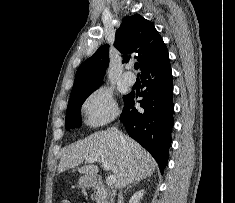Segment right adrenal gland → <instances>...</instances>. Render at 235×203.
<instances>
[{
    "label": "right adrenal gland",
    "instance_id": "2a0ac1e0",
    "mask_svg": "<svg viewBox=\"0 0 235 203\" xmlns=\"http://www.w3.org/2000/svg\"><path fill=\"white\" fill-rule=\"evenodd\" d=\"M141 180H143V178L135 180V181L132 183V185H130L129 187H127V189L125 190V193L127 192V190H128L129 188H132V187L135 186L136 184L140 183Z\"/></svg>",
    "mask_w": 235,
    "mask_h": 203
}]
</instances>
